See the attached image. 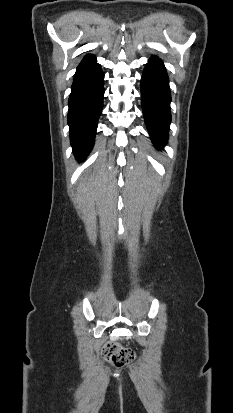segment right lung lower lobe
Returning a JSON list of instances; mask_svg holds the SVG:
<instances>
[{
	"mask_svg": "<svg viewBox=\"0 0 233 413\" xmlns=\"http://www.w3.org/2000/svg\"><path fill=\"white\" fill-rule=\"evenodd\" d=\"M104 74L96 57L87 55L76 69L68 105L74 154L83 160L91 151L103 107Z\"/></svg>",
	"mask_w": 233,
	"mask_h": 413,
	"instance_id": "98d812e1",
	"label": "right lung lower lobe"
}]
</instances>
